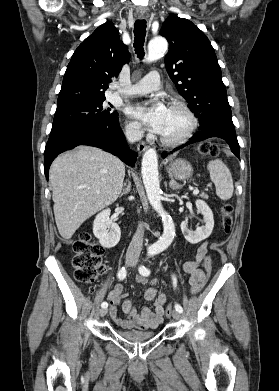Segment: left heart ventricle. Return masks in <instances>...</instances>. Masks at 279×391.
<instances>
[{
    "instance_id": "left-heart-ventricle-1",
    "label": "left heart ventricle",
    "mask_w": 279,
    "mask_h": 391,
    "mask_svg": "<svg viewBox=\"0 0 279 391\" xmlns=\"http://www.w3.org/2000/svg\"><path fill=\"white\" fill-rule=\"evenodd\" d=\"M189 119L180 109L168 108V113L160 134L166 138H178L188 128Z\"/></svg>"
}]
</instances>
